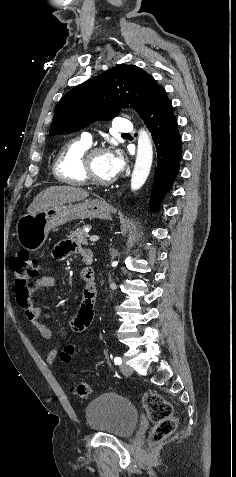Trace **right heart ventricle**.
<instances>
[{
	"label": "right heart ventricle",
	"mask_w": 236,
	"mask_h": 477,
	"mask_svg": "<svg viewBox=\"0 0 236 477\" xmlns=\"http://www.w3.org/2000/svg\"><path fill=\"white\" fill-rule=\"evenodd\" d=\"M89 147L81 140H72L65 144L53 164L55 177L60 182L70 185L85 183L81 171V160Z\"/></svg>",
	"instance_id": "1"
}]
</instances>
